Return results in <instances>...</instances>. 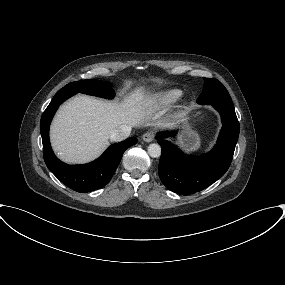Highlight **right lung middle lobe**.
Here are the masks:
<instances>
[{"mask_svg": "<svg viewBox=\"0 0 285 285\" xmlns=\"http://www.w3.org/2000/svg\"><path fill=\"white\" fill-rule=\"evenodd\" d=\"M60 90L72 92L74 94L80 92L107 99H111L115 95L114 90L111 88V84L109 82L101 80H81L77 82H72L67 84Z\"/></svg>", "mask_w": 285, "mask_h": 285, "instance_id": "obj_1", "label": "right lung middle lobe"}]
</instances>
